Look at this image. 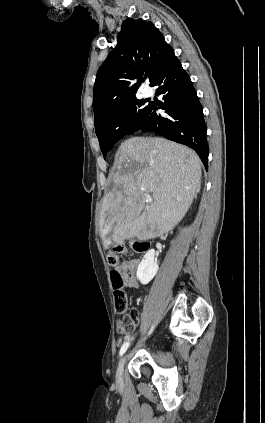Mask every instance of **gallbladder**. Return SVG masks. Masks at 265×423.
Listing matches in <instances>:
<instances>
[{"label": "gallbladder", "mask_w": 265, "mask_h": 423, "mask_svg": "<svg viewBox=\"0 0 265 423\" xmlns=\"http://www.w3.org/2000/svg\"><path fill=\"white\" fill-rule=\"evenodd\" d=\"M103 245H104L105 248H108L110 243H109V241L104 239Z\"/></svg>", "instance_id": "gallbladder-1"}]
</instances>
